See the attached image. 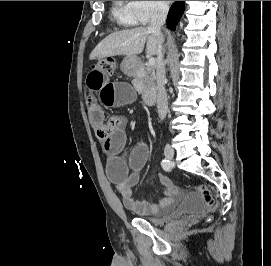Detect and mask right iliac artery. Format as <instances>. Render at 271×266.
I'll return each instance as SVG.
<instances>
[{
  "instance_id": "82829eb1",
  "label": "right iliac artery",
  "mask_w": 271,
  "mask_h": 266,
  "mask_svg": "<svg viewBox=\"0 0 271 266\" xmlns=\"http://www.w3.org/2000/svg\"><path fill=\"white\" fill-rule=\"evenodd\" d=\"M161 166L165 171H168V172L171 171V163L169 160H166V159L162 160Z\"/></svg>"
}]
</instances>
